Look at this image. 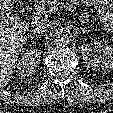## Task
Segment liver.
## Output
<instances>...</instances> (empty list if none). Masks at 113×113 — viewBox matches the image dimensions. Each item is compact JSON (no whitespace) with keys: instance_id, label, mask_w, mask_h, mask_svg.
<instances>
[{"instance_id":"obj_1","label":"liver","mask_w":113,"mask_h":113,"mask_svg":"<svg viewBox=\"0 0 113 113\" xmlns=\"http://www.w3.org/2000/svg\"><path fill=\"white\" fill-rule=\"evenodd\" d=\"M12 10V0H0V87H5L13 77L26 41L11 23Z\"/></svg>"}]
</instances>
